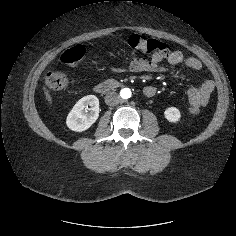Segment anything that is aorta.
<instances>
[{
  "mask_svg": "<svg viewBox=\"0 0 236 236\" xmlns=\"http://www.w3.org/2000/svg\"><path fill=\"white\" fill-rule=\"evenodd\" d=\"M132 95V92L129 88H123L121 91H120V96L123 98V99H129Z\"/></svg>",
  "mask_w": 236,
  "mask_h": 236,
  "instance_id": "1",
  "label": "aorta"
}]
</instances>
